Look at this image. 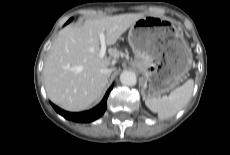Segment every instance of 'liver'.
<instances>
[{"label": "liver", "instance_id": "1", "mask_svg": "<svg viewBox=\"0 0 230 155\" xmlns=\"http://www.w3.org/2000/svg\"><path fill=\"white\" fill-rule=\"evenodd\" d=\"M143 14H120L86 20L82 26L64 27L54 40L44 64V85L49 99L68 111H82L103 97L110 65L99 57L100 38L113 45Z\"/></svg>", "mask_w": 230, "mask_h": 155}]
</instances>
